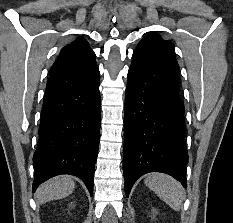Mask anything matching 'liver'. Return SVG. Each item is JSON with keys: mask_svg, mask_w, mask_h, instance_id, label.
I'll return each mask as SVG.
<instances>
[{"mask_svg": "<svg viewBox=\"0 0 233 223\" xmlns=\"http://www.w3.org/2000/svg\"><path fill=\"white\" fill-rule=\"evenodd\" d=\"M75 187V181H73L71 175H58L53 177L45 183H41L37 189L36 197H38L40 203H46L51 199H62L67 197L70 193H73Z\"/></svg>", "mask_w": 233, "mask_h": 223, "instance_id": "obj_1", "label": "liver"}]
</instances>
